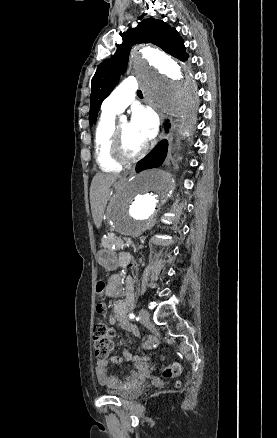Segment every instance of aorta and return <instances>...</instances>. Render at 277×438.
<instances>
[{"label":"aorta","instance_id":"aorta-1","mask_svg":"<svg viewBox=\"0 0 277 438\" xmlns=\"http://www.w3.org/2000/svg\"><path fill=\"white\" fill-rule=\"evenodd\" d=\"M134 68L146 98L160 112L179 118L180 132L189 134L197 102V85L190 68L153 48L141 49L135 55ZM172 188V178L166 171L156 169L137 174L112 201L110 220L114 230L134 237L150 229Z\"/></svg>","mask_w":277,"mask_h":438}]
</instances>
